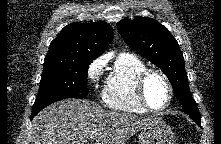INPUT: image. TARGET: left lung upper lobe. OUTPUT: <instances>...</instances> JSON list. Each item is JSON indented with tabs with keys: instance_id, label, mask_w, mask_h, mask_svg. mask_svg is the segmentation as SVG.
Wrapping results in <instances>:
<instances>
[{
	"instance_id": "5c2ea615",
	"label": "left lung upper lobe",
	"mask_w": 221,
	"mask_h": 144,
	"mask_svg": "<svg viewBox=\"0 0 221 144\" xmlns=\"http://www.w3.org/2000/svg\"><path fill=\"white\" fill-rule=\"evenodd\" d=\"M117 29L127 44L166 74L184 113L193 120H201L190 94L183 55L168 29L148 17L121 20Z\"/></svg>"
}]
</instances>
